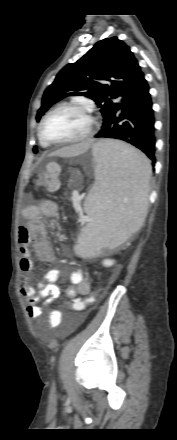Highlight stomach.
<instances>
[{
	"instance_id": "obj_1",
	"label": "stomach",
	"mask_w": 177,
	"mask_h": 440,
	"mask_svg": "<svg viewBox=\"0 0 177 440\" xmlns=\"http://www.w3.org/2000/svg\"><path fill=\"white\" fill-rule=\"evenodd\" d=\"M96 144L93 146V149L95 148Z\"/></svg>"
}]
</instances>
